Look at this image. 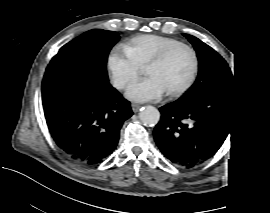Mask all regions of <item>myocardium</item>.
I'll use <instances>...</instances> for the list:
<instances>
[{"label":"myocardium","mask_w":270,"mask_h":213,"mask_svg":"<svg viewBox=\"0 0 270 213\" xmlns=\"http://www.w3.org/2000/svg\"><path fill=\"white\" fill-rule=\"evenodd\" d=\"M179 49H185L190 52L193 58V66H192L189 78L182 86H180L177 89L167 91L168 96H170L171 98H176V97L181 96L192 87L195 81L196 75H197V71H198V57H197L196 51L188 44L180 43L178 45L172 46L162 51L156 57H154L152 61L148 64V69H150L151 67L162 63L171 53Z\"/></svg>","instance_id":"1"}]
</instances>
